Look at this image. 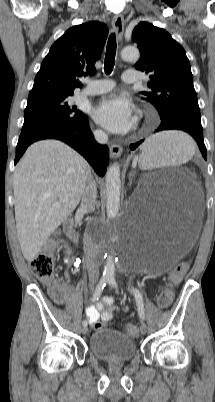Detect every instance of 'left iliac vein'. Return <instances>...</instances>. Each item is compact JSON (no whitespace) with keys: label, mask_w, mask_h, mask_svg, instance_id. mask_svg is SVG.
Listing matches in <instances>:
<instances>
[{"label":"left iliac vein","mask_w":215,"mask_h":402,"mask_svg":"<svg viewBox=\"0 0 215 402\" xmlns=\"http://www.w3.org/2000/svg\"><path fill=\"white\" fill-rule=\"evenodd\" d=\"M140 332L141 334H146L147 332V325L144 322H142L140 325Z\"/></svg>","instance_id":"left-iliac-vein-1"}]
</instances>
